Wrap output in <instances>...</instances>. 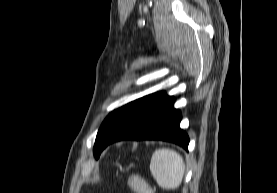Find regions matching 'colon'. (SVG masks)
<instances>
[{
    "label": "colon",
    "instance_id": "5ec220e1",
    "mask_svg": "<svg viewBox=\"0 0 277 193\" xmlns=\"http://www.w3.org/2000/svg\"><path fill=\"white\" fill-rule=\"evenodd\" d=\"M126 184L134 193H154L151 185L143 177L135 173L127 176Z\"/></svg>",
    "mask_w": 277,
    "mask_h": 193
}]
</instances>
